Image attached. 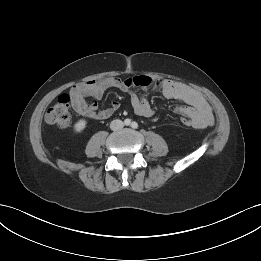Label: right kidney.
Segmentation results:
<instances>
[{
	"mask_svg": "<svg viewBox=\"0 0 261 261\" xmlns=\"http://www.w3.org/2000/svg\"><path fill=\"white\" fill-rule=\"evenodd\" d=\"M86 123L87 122L84 119H80L78 122H76L74 125L75 132L77 133L82 132L86 127Z\"/></svg>",
	"mask_w": 261,
	"mask_h": 261,
	"instance_id": "right-kidney-1",
	"label": "right kidney"
}]
</instances>
